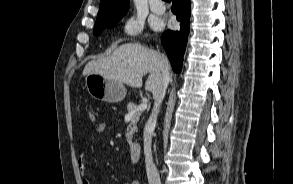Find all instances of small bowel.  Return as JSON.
Returning <instances> with one entry per match:
<instances>
[{
    "mask_svg": "<svg viewBox=\"0 0 293 184\" xmlns=\"http://www.w3.org/2000/svg\"><path fill=\"white\" fill-rule=\"evenodd\" d=\"M94 130L96 133L101 134L106 130V124L103 122H98L94 125ZM78 168L82 176V184H92V182L85 176L87 172L85 154L83 153L78 160ZM124 184H140L138 181H131Z\"/></svg>",
    "mask_w": 293,
    "mask_h": 184,
    "instance_id": "1",
    "label": "small bowel"
}]
</instances>
